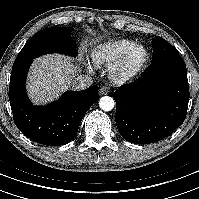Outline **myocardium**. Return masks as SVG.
<instances>
[{
  "mask_svg": "<svg viewBox=\"0 0 199 199\" xmlns=\"http://www.w3.org/2000/svg\"><path fill=\"white\" fill-rule=\"evenodd\" d=\"M136 49L143 51V57L139 65L132 71L126 70V62L130 54ZM149 61V52L142 44H133L127 48L117 59V61L109 67L110 80L119 85L129 84L137 80L144 72Z\"/></svg>",
  "mask_w": 199,
  "mask_h": 199,
  "instance_id": "f54148a6",
  "label": "myocardium"
}]
</instances>
